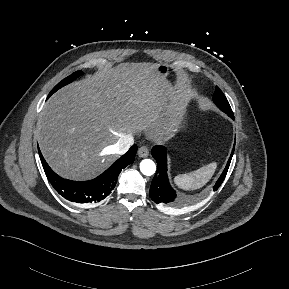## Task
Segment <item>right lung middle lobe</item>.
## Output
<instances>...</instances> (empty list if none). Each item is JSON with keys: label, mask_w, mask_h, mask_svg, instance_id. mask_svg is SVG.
I'll list each match as a JSON object with an SVG mask.
<instances>
[{"label": "right lung middle lobe", "mask_w": 289, "mask_h": 289, "mask_svg": "<svg viewBox=\"0 0 289 289\" xmlns=\"http://www.w3.org/2000/svg\"><path fill=\"white\" fill-rule=\"evenodd\" d=\"M83 72L82 71H76L73 74H71L70 76L66 77L65 79H63L61 82H59L50 92L48 98L54 93L56 92L58 89H60L61 87L71 83L72 81H74L77 77H79Z\"/></svg>", "instance_id": "obj_1"}]
</instances>
